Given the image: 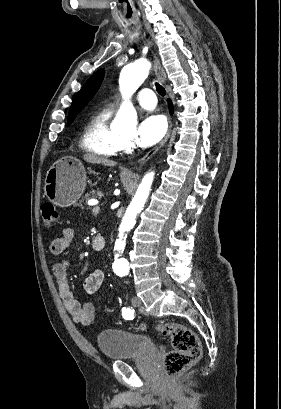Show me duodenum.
<instances>
[{"label":"duodenum","instance_id":"obj_1","mask_svg":"<svg viewBox=\"0 0 281 409\" xmlns=\"http://www.w3.org/2000/svg\"><path fill=\"white\" fill-rule=\"evenodd\" d=\"M103 247V238L101 236H96L93 239V249L95 251H100Z\"/></svg>","mask_w":281,"mask_h":409}]
</instances>
